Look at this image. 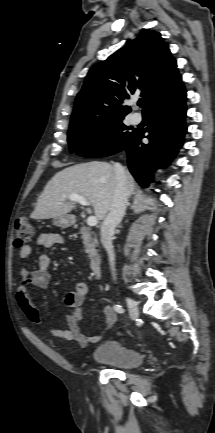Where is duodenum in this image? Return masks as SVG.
I'll use <instances>...</instances> for the list:
<instances>
[{"label": "duodenum", "instance_id": "obj_1", "mask_svg": "<svg viewBox=\"0 0 215 433\" xmlns=\"http://www.w3.org/2000/svg\"><path fill=\"white\" fill-rule=\"evenodd\" d=\"M90 269L96 279H101L102 269H101V261L99 258L94 257L91 260Z\"/></svg>", "mask_w": 215, "mask_h": 433}]
</instances>
